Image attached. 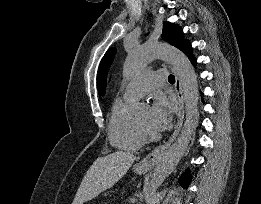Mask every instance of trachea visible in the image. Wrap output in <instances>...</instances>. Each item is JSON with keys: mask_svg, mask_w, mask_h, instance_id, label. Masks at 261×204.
<instances>
[{"mask_svg": "<svg viewBox=\"0 0 261 204\" xmlns=\"http://www.w3.org/2000/svg\"><path fill=\"white\" fill-rule=\"evenodd\" d=\"M168 81L169 82H175V77L173 75H169Z\"/></svg>", "mask_w": 261, "mask_h": 204, "instance_id": "1", "label": "trachea"}]
</instances>
